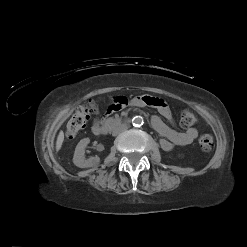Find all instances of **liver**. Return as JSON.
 Returning a JSON list of instances; mask_svg holds the SVG:
<instances>
[{
    "label": "liver",
    "mask_w": 247,
    "mask_h": 247,
    "mask_svg": "<svg viewBox=\"0 0 247 247\" xmlns=\"http://www.w3.org/2000/svg\"><path fill=\"white\" fill-rule=\"evenodd\" d=\"M63 141H64V133L63 131H60L57 136L56 146H55L57 152L61 149Z\"/></svg>",
    "instance_id": "6515ba94"
}]
</instances>
